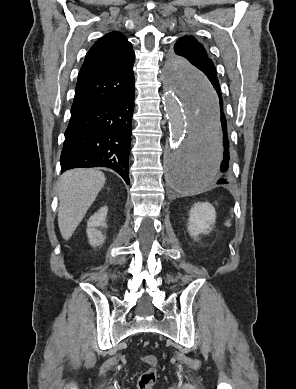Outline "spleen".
<instances>
[{
  "label": "spleen",
  "instance_id": "obj_1",
  "mask_svg": "<svg viewBox=\"0 0 296 389\" xmlns=\"http://www.w3.org/2000/svg\"><path fill=\"white\" fill-rule=\"evenodd\" d=\"M192 189H195V187L193 186V187H191Z\"/></svg>",
  "mask_w": 296,
  "mask_h": 389
}]
</instances>
